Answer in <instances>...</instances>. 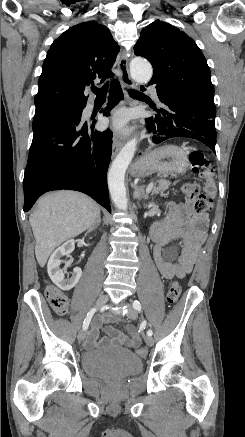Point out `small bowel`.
<instances>
[{"label": "small bowel", "instance_id": "c3829d8e", "mask_svg": "<svg viewBox=\"0 0 245 437\" xmlns=\"http://www.w3.org/2000/svg\"><path fill=\"white\" fill-rule=\"evenodd\" d=\"M208 226V214L197 211L192 202L169 205L164 220L151 231V237L156 242L153 249L154 260L165 279L184 278L191 273L199 258L201 246L206 240ZM174 240H181L184 244V252L176 262L162 256L163 248ZM104 320L98 318L94 322V329L86 345L88 348L97 344L98 328ZM107 330L112 340L120 346L133 348L140 344V337L133 327L129 328V336L112 327H108ZM101 342L106 343L108 340L103 339Z\"/></svg>", "mask_w": 245, "mask_h": 437}]
</instances>
